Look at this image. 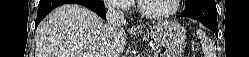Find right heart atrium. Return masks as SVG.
Listing matches in <instances>:
<instances>
[{"label": "right heart atrium", "instance_id": "d8ad5b80", "mask_svg": "<svg viewBox=\"0 0 249 57\" xmlns=\"http://www.w3.org/2000/svg\"><path fill=\"white\" fill-rule=\"evenodd\" d=\"M105 3L109 9L118 13L128 12L132 7L129 0H106Z\"/></svg>", "mask_w": 249, "mask_h": 57}]
</instances>
